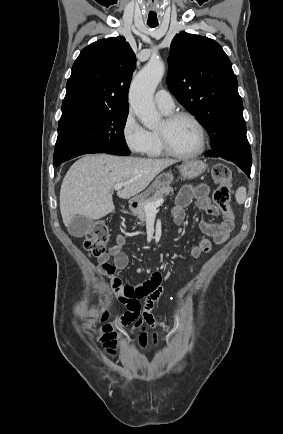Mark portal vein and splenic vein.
I'll use <instances>...</instances> for the list:
<instances>
[{
    "instance_id": "obj_1",
    "label": "portal vein and splenic vein",
    "mask_w": 283,
    "mask_h": 434,
    "mask_svg": "<svg viewBox=\"0 0 283 434\" xmlns=\"http://www.w3.org/2000/svg\"><path fill=\"white\" fill-rule=\"evenodd\" d=\"M123 186H125L124 183L116 184V185L114 186V189H115V190H120ZM163 201H164V200L161 198V199L156 200V201L153 202V203H148V204H146L145 207H144V208H145V211H146L147 213H154V212H156V209H157L159 206L162 205Z\"/></svg>"
}]
</instances>
